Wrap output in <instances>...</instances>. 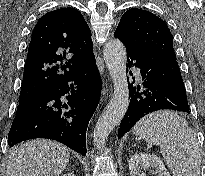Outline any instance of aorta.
Listing matches in <instances>:
<instances>
[{
    "label": "aorta",
    "mask_w": 205,
    "mask_h": 176,
    "mask_svg": "<svg viewBox=\"0 0 205 176\" xmlns=\"http://www.w3.org/2000/svg\"><path fill=\"white\" fill-rule=\"evenodd\" d=\"M104 61L113 81L114 93L94 129L93 138L98 149H102L108 135L120 123L129 105L126 50L120 40L112 39L106 42Z\"/></svg>",
    "instance_id": "762f6f07"
}]
</instances>
